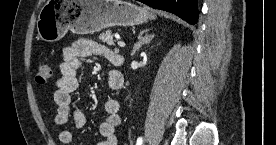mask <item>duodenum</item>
Instances as JSON below:
<instances>
[{
	"label": "duodenum",
	"instance_id": "obj_1",
	"mask_svg": "<svg viewBox=\"0 0 276 145\" xmlns=\"http://www.w3.org/2000/svg\"><path fill=\"white\" fill-rule=\"evenodd\" d=\"M113 63L118 66L122 65L124 63V57L122 55H116L113 58ZM123 84H124L123 74L120 71H117L116 75L111 79L110 85L113 88H120L123 86Z\"/></svg>",
	"mask_w": 276,
	"mask_h": 145
}]
</instances>
